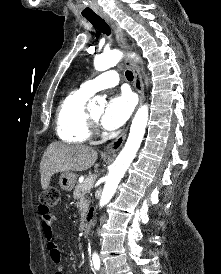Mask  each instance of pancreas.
<instances>
[{
  "mask_svg": "<svg viewBox=\"0 0 221 274\" xmlns=\"http://www.w3.org/2000/svg\"><path fill=\"white\" fill-rule=\"evenodd\" d=\"M85 185H86V179L84 180L82 184H77L73 192V198L78 201L76 206L79 208L81 221L84 220L87 207L89 206V202L87 200V193L89 190H86L84 188Z\"/></svg>",
  "mask_w": 221,
  "mask_h": 274,
  "instance_id": "obj_1",
  "label": "pancreas"
}]
</instances>
